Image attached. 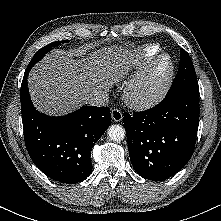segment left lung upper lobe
<instances>
[{
    "label": "left lung upper lobe",
    "instance_id": "obj_1",
    "mask_svg": "<svg viewBox=\"0 0 221 221\" xmlns=\"http://www.w3.org/2000/svg\"><path fill=\"white\" fill-rule=\"evenodd\" d=\"M183 91H199L194 65L184 49H180V66L168 95Z\"/></svg>",
    "mask_w": 221,
    "mask_h": 221
}]
</instances>
